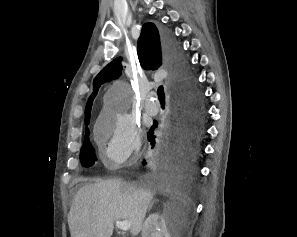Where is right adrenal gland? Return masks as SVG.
Returning <instances> with one entry per match:
<instances>
[{
    "label": "right adrenal gland",
    "mask_w": 297,
    "mask_h": 237,
    "mask_svg": "<svg viewBox=\"0 0 297 237\" xmlns=\"http://www.w3.org/2000/svg\"><path fill=\"white\" fill-rule=\"evenodd\" d=\"M155 201H156V200H153V201L151 202V204H150L149 207H148V211H150V209L152 208V206H153V204H154Z\"/></svg>",
    "instance_id": "obj_1"
}]
</instances>
